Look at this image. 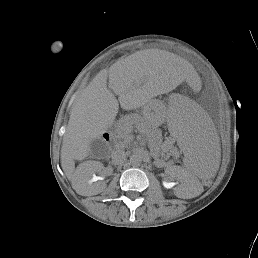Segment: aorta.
I'll return each mask as SVG.
<instances>
[{"instance_id":"762f6f07","label":"aorta","mask_w":258,"mask_h":258,"mask_svg":"<svg viewBox=\"0 0 258 258\" xmlns=\"http://www.w3.org/2000/svg\"><path fill=\"white\" fill-rule=\"evenodd\" d=\"M142 161V157L139 153H133L131 156H130V162L132 164H136V165H139Z\"/></svg>"}]
</instances>
